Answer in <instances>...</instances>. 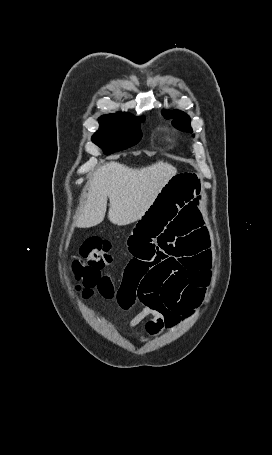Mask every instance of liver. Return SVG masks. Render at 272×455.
Masks as SVG:
<instances>
[{
  "label": "liver",
  "instance_id": "1",
  "mask_svg": "<svg viewBox=\"0 0 272 455\" xmlns=\"http://www.w3.org/2000/svg\"><path fill=\"white\" fill-rule=\"evenodd\" d=\"M176 173L174 166L163 161L140 169L118 162L97 168L87 183L88 193L80 207L76 226L89 228L101 223L108 198L110 222L124 226L139 220Z\"/></svg>",
  "mask_w": 272,
  "mask_h": 455
}]
</instances>
